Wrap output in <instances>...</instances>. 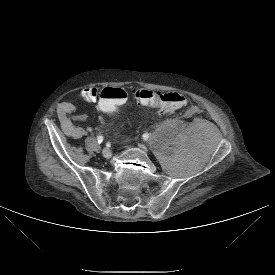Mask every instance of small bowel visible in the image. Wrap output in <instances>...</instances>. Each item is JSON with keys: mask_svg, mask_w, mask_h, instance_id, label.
<instances>
[{"mask_svg": "<svg viewBox=\"0 0 275 275\" xmlns=\"http://www.w3.org/2000/svg\"><path fill=\"white\" fill-rule=\"evenodd\" d=\"M100 92L96 87H86L81 90L80 98L86 102H96L99 99ZM60 113V123L66 133L71 138L78 139L84 135V130L75 125L69 119L75 111L74 104L69 100L62 101L58 106ZM101 121L105 124L106 120L102 117Z\"/></svg>", "mask_w": 275, "mask_h": 275, "instance_id": "small-bowel-1", "label": "small bowel"}]
</instances>
